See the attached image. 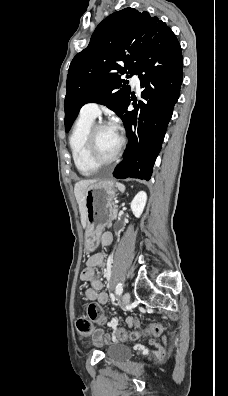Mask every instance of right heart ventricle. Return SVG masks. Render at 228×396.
<instances>
[{"label":"right heart ventricle","instance_id":"1","mask_svg":"<svg viewBox=\"0 0 228 396\" xmlns=\"http://www.w3.org/2000/svg\"><path fill=\"white\" fill-rule=\"evenodd\" d=\"M95 118L80 115L69 138L72 157L77 169L84 175H91L97 171L87 159L85 144L88 132L94 124Z\"/></svg>","mask_w":228,"mask_h":396}]
</instances>
